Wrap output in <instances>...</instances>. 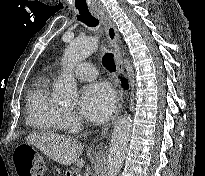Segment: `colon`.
Listing matches in <instances>:
<instances>
[{"label": "colon", "mask_w": 205, "mask_h": 176, "mask_svg": "<svg viewBox=\"0 0 205 176\" xmlns=\"http://www.w3.org/2000/svg\"><path fill=\"white\" fill-rule=\"evenodd\" d=\"M14 165L19 176H42L45 160L34 149L19 147L13 155Z\"/></svg>", "instance_id": "1"}]
</instances>
